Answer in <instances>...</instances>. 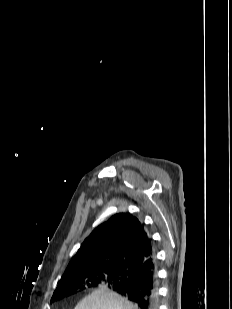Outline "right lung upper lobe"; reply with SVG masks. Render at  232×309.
I'll list each match as a JSON object with an SVG mask.
<instances>
[{
  "label": "right lung upper lobe",
  "mask_w": 232,
  "mask_h": 309,
  "mask_svg": "<svg viewBox=\"0 0 232 309\" xmlns=\"http://www.w3.org/2000/svg\"><path fill=\"white\" fill-rule=\"evenodd\" d=\"M154 254L144 224L129 213L115 214L84 240L59 283L87 271L125 272Z\"/></svg>",
  "instance_id": "obj_1"
}]
</instances>
